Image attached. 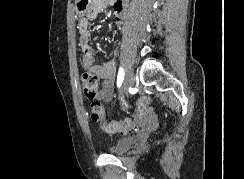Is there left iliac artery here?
<instances>
[{
    "instance_id": "obj_1",
    "label": "left iliac artery",
    "mask_w": 244,
    "mask_h": 179,
    "mask_svg": "<svg viewBox=\"0 0 244 179\" xmlns=\"http://www.w3.org/2000/svg\"><path fill=\"white\" fill-rule=\"evenodd\" d=\"M124 79V70L122 67L119 68L117 76V87H120Z\"/></svg>"
}]
</instances>
